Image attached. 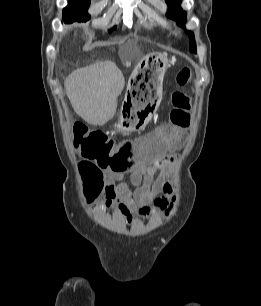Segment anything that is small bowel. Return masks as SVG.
<instances>
[{
	"label": "small bowel",
	"mask_w": 261,
	"mask_h": 306,
	"mask_svg": "<svg viewBox=\"0 0 261 306\" xmlns=\"http://www.w3.org/2000/svg\"><path fill=\"white\" fill-rule=\"evenodd\" d=\"M178 160L177 154L169 153L147 165L108 172L102 205L114 206L127 224L160 211L170 214L177 200L173 182Z\"/></svg>",
	"instance_id": "small-bowel-1"
}]
</instances>
